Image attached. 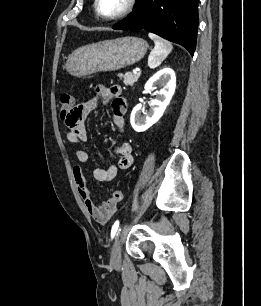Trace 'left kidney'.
I'll return each mask as SVG.
<instances>
[{"label": "left kidney", "mask_w": 261, "mask_h": 306, "mask_svg": "<svg viewBox=\"0 0 261 306\" xmlns=\"http://www.w3.org/2000/svg\"><path fill=\"white\" fill-rule=\"evenodd\" d=\"M162 89L158 92L157 99L152 100V107L146 116H142V104L134 107L130 122L136 132H144L155 124L163 115L169 105L176 88V76L172 69L164 68L153 75L145 84V92H150L155 85Z\"/></svg>", "instance_id": "1"}]
</instances>
